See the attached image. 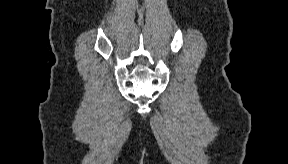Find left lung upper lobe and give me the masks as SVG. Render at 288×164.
Listing matches in <instances>:
<instances>
[{
	"mask_svg": "<svg viewBox=\"0 0 288 164\" xmlns=\"http://www.w3.org/2000/svg\"><path fill=\"white\" fill-rule=\"evenodd\" d=\"M248 81L251 82V79L249 78Z\"/></svg>",
	"mask_w": 288,
	"mask_h": 164,
	"instance_id": "1",
	"label": "left lung upper lobe"
}]
</instances>
